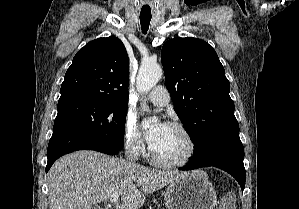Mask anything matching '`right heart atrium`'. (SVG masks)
<instances>
[{"instance_id":"d8ad5b80","label":"right heart atrium","mask_w":299,"mask_h":209,"mask_svg":"<svg viewBox=\"0 0 299 209\" xmlns=\"http://www.w3.org/2000/svg\"><path fill=\"white\" fill-rule=\"evenodd\" d=\"M124 143L134 155H139L144 148L142 134L132 116H127L124 122Z\"/></svg>"}]
</instances>
